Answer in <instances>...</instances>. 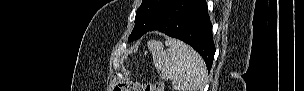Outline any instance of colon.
Segmentation results:
<instances>
[{
  "instance_id": "5ec220e1",
  "label": "colon",
  "mask_w": 304,
  "mask_h": 91,
  "mask_svg": "<svg viewBox=\"0 0 304 91\" xmlns=\"http://www.w3.org/2000/svg\"><path fill=\"white\" fill-rule=\"evenodd\" d=\"M117 91H163V85L160 82L139 83L124 81L116 87Z\"/></svg>"
}]
</instances>
